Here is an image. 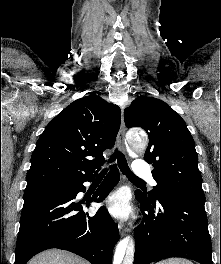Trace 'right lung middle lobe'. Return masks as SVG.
<instances>
[{
  "mask_svg": "<svg viewBox=\"0 0 221 264\" xmlns=\"http://www.w3.org/2000/svg\"><path fill=\"white\" fill-rule=\"evenodd\" d=\"M72 186H73L72 182H55V183L46 184V185H43L37 188L25 190L24 194L38 192V191H47V190L66 191V190L71 189Z\"/></svg>",
  "mask_w": 221,
  "mask_h": 264,
  "instance_id": "right-lung-middle-lobe-1",
  "label": "right lung middle lobe"
}]
</instances>
